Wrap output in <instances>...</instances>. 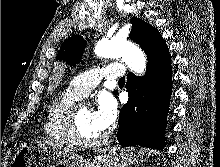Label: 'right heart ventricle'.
Segmentation results:
<instances>
[{"label":"right heart ventricle","mask_w":220,"mask_h":167,"mask_svg":"<svg viewBox=\"0 0 220 167\" xmlns=\"http://www.w3.org/2000/svg\"><path fill=\"white\" fill-rule=\"evenodd\" d=\"M79 97L69 89L56 96L48 105L43 124L44 135L56 144L70 146L66 130V118L70 107Z\"/></svg>","instance_id":"obj_1"}]
</instances>
